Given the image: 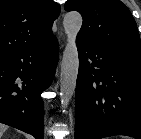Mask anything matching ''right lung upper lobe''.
Segmentation results:
<instances>
[{"instance_id":"obj_1","label":"right lung upper lobe","mask_w":141,"mask_h":139,"mask_svg":"<svg viewBox=\"0 0 141 139\" xmlns=\"http://www.w3.org/2000/svg\"><path fill=\"white\" fill-rule=\"evenodd\" d=\"M59 11L53 0H0V56L48 40Z\"/></svg>"}]
</instances>
